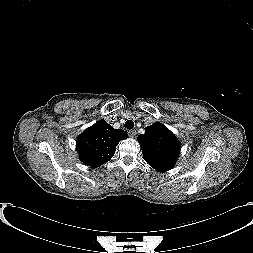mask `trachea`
<instances>
[{
	"instance_id": "1",
	"label": "trachea",
	"mask_w": 253,
	"mask_h": 253,
	"mask_svg": "<svg viewBox=\"0 0 253 253\" xmlns=\"http://www.w3.org/2000/svg\"><path fill=\"white\" fill-rule=\"evenodd\" d=\"M134 127V122L132 120H128L125 123V128L132 129Z\"/></svg>"
}]
</instances>
